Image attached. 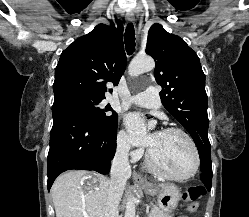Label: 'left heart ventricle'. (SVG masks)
Returning <instances> with one entry per match:
<instances>
[{
  "label": "left heart ventricle",
  "mask_w": 249,
  "mask_h": 217,
  "mask_svg": "<svg viewBox=\"0 0 249 217\" xmlns=\"http://www.w3.org/2000/svg\"><path fill=\"white\" fill-rule=\"evenodd\" d=\"M151 151L156 163L171 174L184 175L193 168L192 148L188 141L178 133L158 132Z\"/></svg>",
  "instance_id": "1"
}]
</instances>
